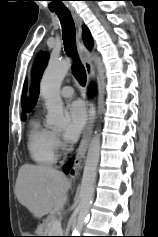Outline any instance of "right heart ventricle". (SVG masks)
Masks as SVG:
<instances>
[{"label": "right heart ventricle", "mask_w": 158, "mask_h": 237, "mask_svg": "<svg viewBox=\"0 0 158 237\" xmlns=\"http://www.w3.org/2000/svg\"><path fill=\"white\" fill-rule=\"evenodd\" d=\"M54 133L35 118L29 124L27 146L31 158L40 165H52L57 159Z\"/></svg>", "instance_id": "e07e8e85"}]
</instances>
